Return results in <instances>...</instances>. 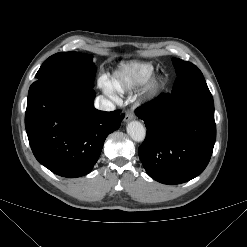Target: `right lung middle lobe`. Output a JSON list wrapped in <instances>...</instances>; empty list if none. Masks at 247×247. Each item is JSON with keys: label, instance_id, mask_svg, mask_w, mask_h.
Wrapping results in <instances>:
<instances>
[{"label": "right lung middle lobe", "instance_id": "obj_1", "mask_svg": "<svg viewBox=\"0 0 247 247\" xmlns=\"http://www.w3.org/2000/svg\"><path fill=\"white\" fill-rule=\"evenodd\" d=\"M95 74L91 56L79 52H59L44 61L36 73V81L58 80L93 87Z\"/></svg>", "mask_w": 247, "mask_h": 247}]
</instances>
